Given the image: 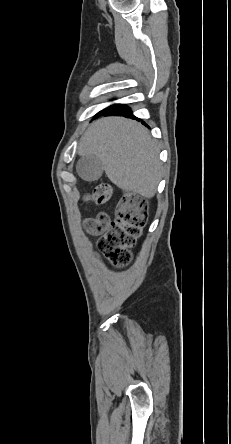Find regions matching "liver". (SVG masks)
<instances>
[{"mask_svg":"<svg viewBox=\"0 0 231 444\" xmlns=\"http://www.w3.org/2000/svg\"><path fill=\"white\" fill-rule=\"evenodd\" d=\"M78 154L95 155L110 181L120 189L152 198L161 180L159 149L140 123L105 117L92 124L82 136Z\"/></svg>","mask_w":231,"mask_h":444,"instance_id":"1","label":"liver"}]
</instances>
